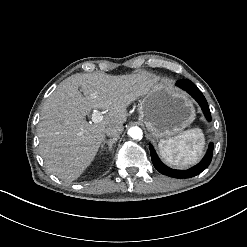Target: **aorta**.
Here are the masks:
<instances>
[{"instance_id": "762f6f07", "label": "aorta", "mask_w": 247, "mask_h": 247, "mask_svg": "<svg viewBox=\"0 0 247 247\" xmlns=\"http://www.w3.org/2000/svg\"><path fill=\"white\" fill-rule=\"evenodd\" d=\"M128 135H129L132 139H141V138H142V135H143V132H142V130H141L140 127L135 126V127H131V128L128 130Z\"/></svg>"}]
</instances>
